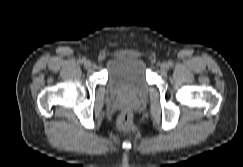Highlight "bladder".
<instances>
[{"label": "bladder", "mask_w": 243, "mask_h": 167, "mask_svg": "<svg viewBox=\"0 0 243 167\" xmlns=\"http://www.w3.org/2000/svg\"><path fill=\"white\" fill-rule=\"evenodd\" d=\"M108 80L115 94L137 98L148 91L145 65L136 56H117L108 63Z\"/></svg>", "instance_id": "1"}]
</instances>
